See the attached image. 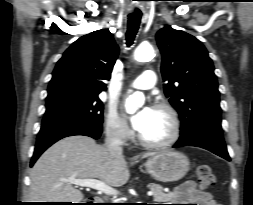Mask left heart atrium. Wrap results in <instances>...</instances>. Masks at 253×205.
I'll return each instance as SVG.
<instances>
[{"label":"left heart atrium","instance_id":"39dd6f15","mask_svg":"<svg viewBox=\"0 0 253 205\" xmlns=\"http://www.w3.org/2000/svg\"><path fill=\"white\" fill-rule=\"evenodd\" d=\"M152 112H153V108L146 106V107H143L141 110H139L137 113H135L131 117V123H132L133 128L136 131L140 132L147 124Z\"/></svg>","mask_w":253,"mask_h":205}]
</instances>
